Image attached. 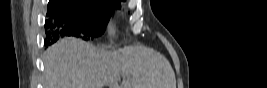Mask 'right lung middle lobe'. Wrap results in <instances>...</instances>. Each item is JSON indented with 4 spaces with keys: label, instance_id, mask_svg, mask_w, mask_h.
<instances>
[{
    "label": "right lung middle lobe",
    "instance_id": "1",
    "mask_svg": "<svg viewBox=\"0 0 267 88\" xmlns=\"http://www.w3.org/2000/svg\"><path fill=\"white\" fill-rule=\"evenodd\" d=\"M120 8L117 0H50L49 20L68 23L84 40L104 33L112 12ZM48 37L50 34L47 32Z\"/></svg>",
    "mask_w": 267,
    "mask_h": 88
}]
</instances>
